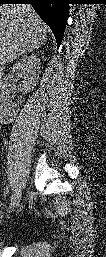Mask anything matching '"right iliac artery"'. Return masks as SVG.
<instances>
[{"mask_svg":"<svg viewBox=\"0 0 106 257\" xmlns=\"http://www.w3.org/2000/svg\"><path fill=\"white\" fill-rule=\"evenodd\" d=\"M13 191L11 193H9V197H8V201L11 203L13 201V199L15 198L16 194H17V189H12Z\"/></svg>","mask_w":106,"mask_h":257,"instance_id":"obj_1","label":"right iliac artery"}]
</instances>
